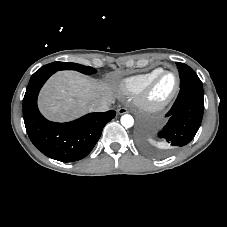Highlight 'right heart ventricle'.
Returning a JSON list of instances; mask_svg holds the SVG:
<instances>
[{"label": "right heart ventricle", "mask_w": 227, "mask_h": 227, "mask_svg": "<svg viewBox=\"0 0 227 227\" xmlns=\"http://www.w3.org/2000/svg\"><path fill=\"white\" fill-rule=\"evenodd\" d=\"M160 70L161 68H156L145 73L124 78L120 81L119 87L126 94H137Z\"/></svg>", "instance_id": "obj_1"}]
</instances>
